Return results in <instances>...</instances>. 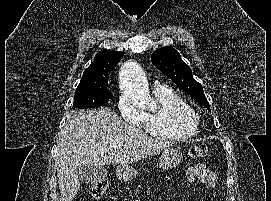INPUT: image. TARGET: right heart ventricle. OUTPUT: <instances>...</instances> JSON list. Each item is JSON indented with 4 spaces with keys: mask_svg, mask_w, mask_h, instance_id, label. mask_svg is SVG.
Masks as SVG:
<instances>
[{
    "mask_svg": "<svg viewBox=\"0 0 271 201\" xmlns=\"http://www.w3.org/2000/svg\"><path fill=\"white\" fill-rule=\"evenodd\" d=\"M155 107L145 113V130L153 137L182 139L195 136L199 119L192 107L173 89L158 85L153 91Z\"/></svg>",
    "mask_w": 271,
    "mask_h": 201,
    "instance_id": "1",
    "label": "right heart ventricle"
}]
</instances>
